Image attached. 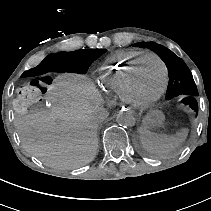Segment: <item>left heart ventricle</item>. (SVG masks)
Returning a JSON list of instances; mask_svg holds the SVG:
<instances>
[{
    "label": "left heart ventricle",
    "instance_id": "1",
    "mask_svg": "<svg viewBox=\"0 0 211 211\" xmlns=\"http://www.w3.org/2000/svg\"><path fill=\"white\" fill-rule=\"evenodd\" d=\"M163 82L161 66L156 60H145L134 77V95L140 100L155 96Z\"/></svg>",
    "mask_w": 211,
    "mask_h": 211
}]
</instances>
